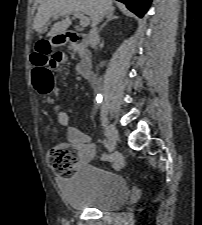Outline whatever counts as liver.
<instances>
[{
	"instance_id": "obj_1",
	"label": "liver",
	"mask_w": 202,
	"mask_h": 225,
	"mask_svg": "<svg viewBox=\"0 0 202 225\" xmlns=\"http://www.w3.org/2000/svg\"><path fill=\"white\" fill-rule=\"evenodd\" d=\"M110 11H114L112 0H43L35 16L33 29L42 33L51 17L62 16L64 19L55 23L48 35L64 34L71 25L69 19L71 13L79 12L89 15L94 26L100 12L103 18Z\"/></svg>"
}]
</instances>
